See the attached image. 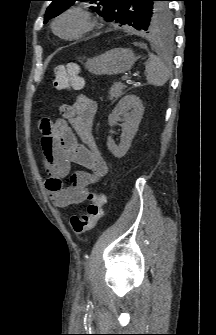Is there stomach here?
<instances>
[{
    "label": "stomach",
    "instance_id": "obj_1",
    "mask_svg": "<svg viewBox=\"0 0 216 335\" xmlns=\"http://www.w3.org/2000/svg\"><path fill=\"white\" fill-rule=\"evenodd\" d=\"M136 59L131 49L115 48L89 59L85 68L95 75H117L131 69Z\"/></svg>",
    "mask_w": 216,
    "mask_h": 335
}]
</instances>
